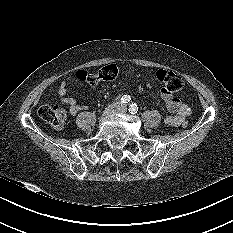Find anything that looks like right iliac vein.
<instances>
[{"mask_svg":"<svg viewBox=\"0 0 233 233\" xmlns=\"http://www.w3.org/2000/svg\"><path fill=\"white\" fill-rule=\"evenodd\" d=\"M118 109H119L118 104H111L107 108H105V110L103 111L102 116L103 117H108V116L112 115L113 113L117 112Z\"/></svg>","mask_w":233,"mask_h":233,"instance_id":"1","label":"right iliac vein"}]
</instances>
